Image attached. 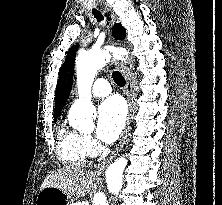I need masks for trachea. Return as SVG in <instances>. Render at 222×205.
<instances>
[{
	"instance_id": "trachea-1",
	"label": "trachea",
	"mask_w": 222,
	"mask_h": 205,
	"mask_svg": "<svg viewBox=\"0 0 222 205\" xmlns=\"http://www.w3.org/2000/svg\"><path fill=\"white\" fill-rule=\"evenodd\" d=\"M92 13H93L94 17H95L98 21L103 20V16H102L101 12L98 11L97 9H93V10H92ZM112 78H113L114 82H115L118 86H120V87H123V86L125 85V83H126L124 77H123L122 74H121L120 72H118V71H114V72L112 73Z\"/></svg>"
}]
</instances>
